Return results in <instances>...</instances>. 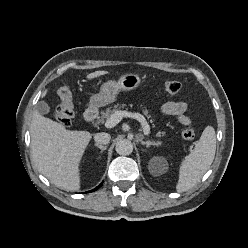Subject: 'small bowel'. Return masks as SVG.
<instances>
[{
	"instance_id": "1",
	"label": "small bowel",
	"mask_w": 248,
	"mask_h": 248,
	"mask_svg": "<svg viewBox=\"0 0 248 248\" xmlns=\"http://www.w3.org/2000/svg\"><path fill=\"white\" fill-rule=\"evenodd\" d=\"M187 107L188 105L186 102L170 101L162 106L161 111L165 115L174 116L182 125H190L191 120L185 115Z\"/></svg>"
}]
</instances>
